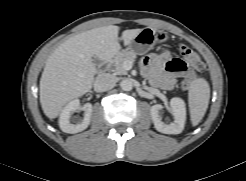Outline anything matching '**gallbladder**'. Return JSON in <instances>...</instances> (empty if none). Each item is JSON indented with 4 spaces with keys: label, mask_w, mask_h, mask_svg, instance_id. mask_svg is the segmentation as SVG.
<instances>
[{
    "label": "gallbladder",
    "mask_w": 246,
    "mask_h": 181,
    "mask_svg": "<svg viewBox=\"0 0 246 181\" xmlns=\"http://www.w3.org/2000/svg\"><path fill=\"white\" fill-rule=\"evenodd\" d=\"M93 63L95 65H98L100 63V60L97 57H93Z\"/></svg>",
    "instance_id": "bac80fb5"
}]
</instances>
